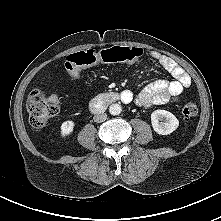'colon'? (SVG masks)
Here are the masks:
<instances>
[{
  "instance_id": "colon-1",
  "label": "colon",
  "mask_w": 221,
  "mask_h": 221,
  "mask_svg": "<svg viewBox=\"0 0 221 221\" xmlns=\"http://www.w3.org/2000/svg\"><path fill=\"white\" fill-rule=\"evenodd\" d=\"M143 51L138 47H111L103 50H86L68 56L67 71L76 76L87 67L98 63H137L141 60ZM59 103L54 95H48L40 89L34 90L27 99V110L31 125L43 128L57 114ZM185 118H194L198 114L195 104H185L182 107Z\"/></svg>"
}]
</instances>
